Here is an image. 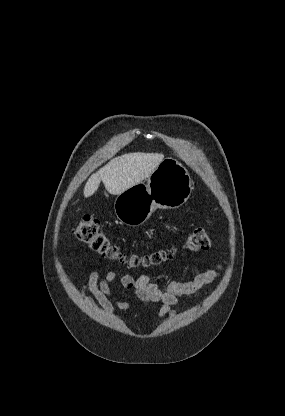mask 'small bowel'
<instances>
[{
    "mask_svg": "<svg viewBox=\"0 0 285 416\" xmlns=\"http://www.w3.org/2000/svg\"><path fill=\"white\" fill-rule=\"evenodd\" d=\"M221 270L222 265L218 264L216 269L199 273L189 282L171 281L163 288L148 275H142L135 279L131 275L111 270L105 274L104 278H101L100 273L94 270L82 287V295L93 309H102L109 315L115 313V308L128 311L129 304L112 291V285L119 280L121 286L133 292L146 307L151 303H161L162 307L158 312L159 318L166 316L174 318L177 315V305L180 299L198 296L200 289L215 281ZM86 291H89L91 296H87Z\"/></svg>",
    "mask_w": 285,
    "mask_h": 416,
    "instance_id": "obj_1",
    "label": "small bowel"
}]
</instances>
